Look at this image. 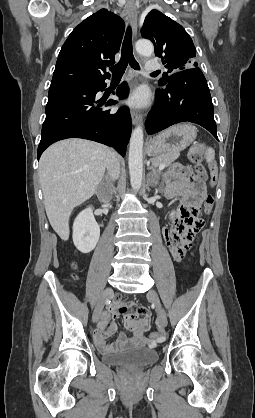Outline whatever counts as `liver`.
Here are the masks:
<instances>
[{
  "mask_svg": "<svg viewBox=\"0 0 255 418\" xmlns=\"http://www.w3.org/2000/svg\"><path fill=\"white\" fill-rule=\"evenodd\" d=\"M108 148L84 139L51 145L39 161V176L49 222L59 237L69 239L73 209L91 198L106 168Z\"/></svg>",
  "mask_w": 255,
  "mask_h": 418,
  "instance_id": "6515ba94",
  "label": "liver"
}]
</instances>
